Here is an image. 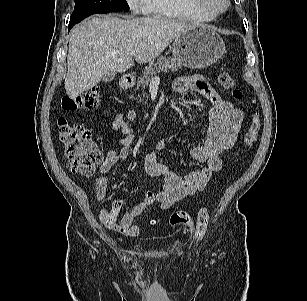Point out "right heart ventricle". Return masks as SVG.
Listing matches in <instances>:
<instances>
[{
    "label": "right heart ventricle",
    "instance_id": "1",
    "mask_svg": "<svg viewBox=\"0 0 307 301\" xmlns=\"http://www.w3.org/2000/svg\"><path fill=\"white\" fill-rule=\"evenodd\" d=\"M146 13L158 18L192 23L211 22L216 17L210 13L195 9L187 0H150Z\"/></svg>",
    "mask_w": 307,
    "mask_h": 301
}]
</instances>
